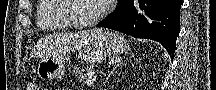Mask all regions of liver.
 <instances>
[{"mask_svg": "<svg viewBox=\"0 0 216 90\" xmlns=\"http://www.w3.org/2000/svg\"><path fill=\"white\" fill-rule=\"evenodd\" d=\"M102 34V30H87V32H77V34H71L68 38L69 46L73 48H81V46H87L88 42H92L95 36Z\"/></svg>", "mask_w": 216, "mask_h": 90, "instance_id": "6515ba94", "label": "liver"}]
</instances>
